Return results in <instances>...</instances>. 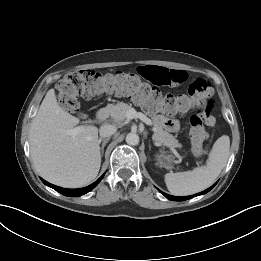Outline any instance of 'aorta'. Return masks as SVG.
Instances as JSON below:
<instances>
[{"instance_id":"1","label":"aorta","mask_w":261,"mask_h":261,"mask_svg":"<svg viewBox=\"0 0 261 261\" xmlns=\"http://www.w3.org/2000/svg\"><path fill=\"white\" fill-rule=\"evenodd\" d=\"M126 143L131 146L139 144V136L136 133L130 132L126 135Z\"/></svg>"}]
</instances>
